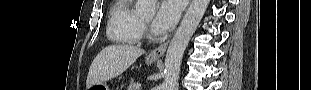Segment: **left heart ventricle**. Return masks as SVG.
I'll use <instances>...</instances> for the list:
<instances>
[{"label":"left heart ventricle","mask_w":311,"mask_h":90,"mask_svg":"<svg viewBox=\"0 0 311 90\" xmlns=\"http://www.w3.org/2000/svg\"><path fill=\"white\" fill-rule=\"evenodd\" d=\"M144 20H145V21H149L150 19H149V18H145Z\"/></svg>","instance_id":"obj_1"}]
</instances>
